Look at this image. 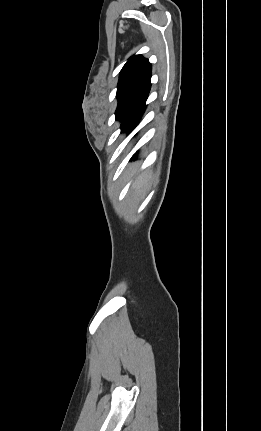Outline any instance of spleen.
Returning <instances> with one entry per match:
<instances>
[{
    "mask_svg": "<svg viewBox=\"0 0 261 431\" xmlns=\"http://www.w3.org/2000/svg\"><path fill=\"white\" fill-rule=\"evenodd\" d=\"M147 182H148V176H146L144 178L140 177V179H138V181L135 183V187L141 188L142 186L147 184Z\"/></svg>",
    "mask_w": 261,
    "mask_h": 431,
    "instance_id": "obj_1",
    "label": "spleen"
}]
</instances>
